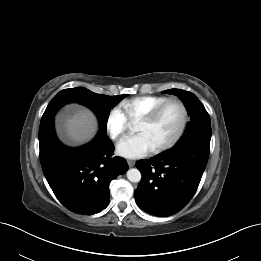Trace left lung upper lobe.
Wrapping results in <instances>:
<instances>
[{"label":"left lung upper lobe","mask_w":261,"mask_h":261,"mask_svg":"<svg viewBox=\"0 0 261 261\" xmlns=\"http://www.w3.org/2000/svg\"><path fill=\"white\" fill-rule=\"evenodd\" d=\"M163 93L173 94L179 97L190 115V121L187 123V128L177 144L192 139H204L210 141V117L197 96L189 91L181 89H169L163 91Z\"/></svg>","instance_id":"obj_1"}]
</instances>
